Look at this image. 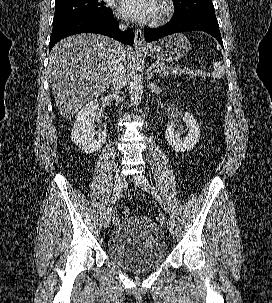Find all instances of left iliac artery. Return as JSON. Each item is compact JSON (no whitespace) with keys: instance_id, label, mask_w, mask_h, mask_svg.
I'll return each mask as SVG.
<instances>
[{"instance_id":"obj_1","label":"left iliac artery","mask_w":272,"mask_h":303,"mask_svg":"<svg viewBox=\"0 0 272 303\" xmlns=\"http://www.w3.org/2000/svg\"><path fill=\"white\" fill-rule=\"evenodd\" d=\"M151 189H152V192L155 194L156 196V199L158 200V202L160 203V205L162 206L163 205V201L161 199V196L158 194L157 192V189L155 188V186H151ZM166 217H167V225H171V227L174 228V224H173V220L171 218V214L170 213H167L166 214Z\"/></svg>"}]
</instances>
